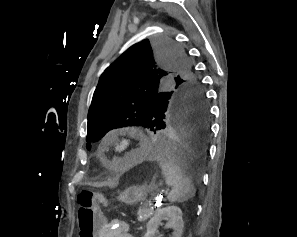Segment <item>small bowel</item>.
<instances>
[{
  "label": "small bowel",
  "mask_w": 297,
  "mask_h": 237,
  "mask_svg": "<svg viewBox=\"0 0 297 237\" xmlns=\"http://www.w3.org/2000/svg\"><path fill=\"white\" fill-rule=\"evenodd\" d=\"M97 237H134L129 232L126 222L114 219L109 222H102Z\"/></svg>",
  "instance_id": "small-bowel-1"
}]
</instances>
